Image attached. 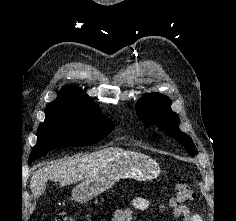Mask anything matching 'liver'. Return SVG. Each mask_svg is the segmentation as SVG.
<instances>
[{"mask_svg": "<svg viewBox=\"0 0 236 221\" xmlns=\"http://www.w3.org/2000/svg\"><path fill=\"white\" fill-rule=\"evenodd\" d=\"M124 152L120 148L109 147L91 154L68 157L51 162L50 165L36 170L30 180L34 197L41 196L48 180L67 186L91 177L111 157Z\"/></svg>", "mask_w": 236, "mask_h": 221, "instance_id": "1", "label": "liver"}]
</instances>
